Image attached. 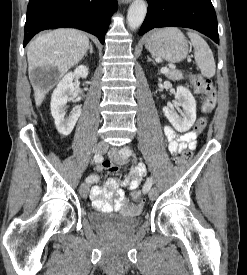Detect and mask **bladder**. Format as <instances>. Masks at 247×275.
Instances as JSON below:
<instances>
[{"instance_id":"1","label":"bladder","mask_w":247,"mask_h":275,"mask_svg":"<svg viewBox=\"0 0 247 275\" xmlns=\"http://www.w3.org/2000/svg\"><path fill=\"white\" fill-rule=\"evenodd\" d=\"M140 212L139 209L132 213H115L107 210L90 211L88 221L101 228L130 231L138 225Z\"/></svg>"}]
</instances>
